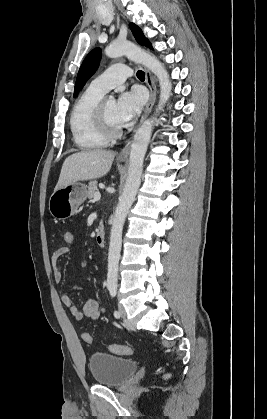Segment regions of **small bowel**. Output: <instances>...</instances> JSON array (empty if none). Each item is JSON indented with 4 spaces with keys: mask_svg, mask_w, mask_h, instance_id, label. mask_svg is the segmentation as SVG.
I'll return each mask as SVG.
<instances>
[{
    "mask_svg": "<svg viewBox=\"0 0 267 419\" xmlns=\"http://www.w3.org/2000/svg\"><path fill=\"white\" fill-rule=\"evenodd\" d=\"M75 252V246H62L58 248L51 260L52 270H53V277L54 280L59 283L62 281L63 274L59 267V261L62 257L72 254ZM78 286L75 285L73 290H77ZM61 302L64 307H66L70 314L74 317L75 320L80 321L84 317H87L92 320L99 319L103 313L104 308L99 304L96 300H88L83 308H78L71 300V297L68 294H64L61 296Z\"/></svg>",
    "mask_w": 267,
    "mask_h": 419,
    "instance_id": "obj_1",
    "label": "small bowel"
}]
</instances>
